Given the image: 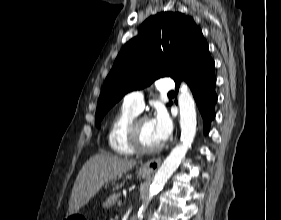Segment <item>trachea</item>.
Listing matches in <instances>:
<instances>
[{
	"mask_svg": "<svg viewBox=\"0 0 281 220\" xmlns=\"http://www.w3.org/2000/svg\"><path fill=\"white\" fill-rule=\"evenodd\" d=\"M168 95H174V92H173V91H171V92H169V93H168Z\"/></svg>",
	"mask_w": 281,
	"mask_h": 220,
	"instance_id": "obj_1",
	"label": "trachea"
}]
</instances>
